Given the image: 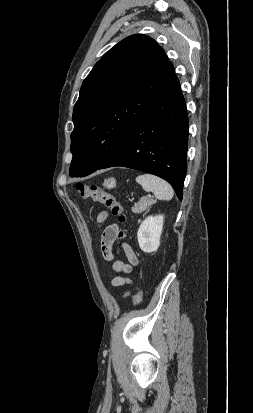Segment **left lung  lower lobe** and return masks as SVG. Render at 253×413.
Returning <instances> with one entry per match:
<instances>
[{"mask_svg": "<svg viewBox=\"0 0 253 413\" xmlns=\"http://www.w3.org/2000/svg\"><path fill=\"white\" fill-rule=\"evenodd\" d=\"M187 150V109L174 74L119 148L99 169L123 166L154 174L168 181L182 200Z\"/></svg>", "mask_w": 253, "mask_h": 413, "instance_id": "obj_1", "label": "left lung lower lobe"}]
</instances>
